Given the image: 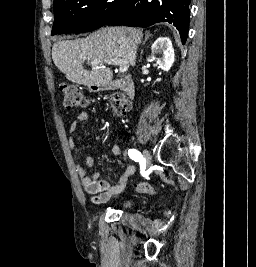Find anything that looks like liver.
Listing matches in <instances>:
<instances>
[{
  "label": "liver",
  "instance_id": "liver-1",
  "mask_svg": "<svg viewBox=\"0 0 256 267\" xmlns=\"http://www.w3.org/2000/svg\"><path fill=\"white\" fill-rule=\"evenodd\" d=\"M143 38L142 30L136 28H100L82 40H62L52 48V60L67 80L82 86H104L113 78L106 68L108 62L121 60L135 64L136 50ZM90 60L92 70H84L82 64Z\"/></svg>",
  "mask_w": 256,
  "mask_h": 267
}]
</instances>
